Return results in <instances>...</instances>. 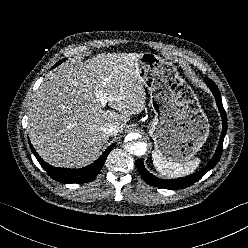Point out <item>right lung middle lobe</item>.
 I'll return each instance as SVG.
<instances>
[{"label":"right lung middle lobe","instance_id":"dd1d6c3e","mask_svg":"<svg viewBox=\"0 0 248 248\" xmlns=\"http://www.w3.org/2000/svg\"><path fill=\"white\" fill-rule=\"evenodd\" d=\"M62 61H64V60H62ZM62 61H59L55 66L59 65Z\"/></svg>","mask_w":248,"mask_h":248}]
</instances>
